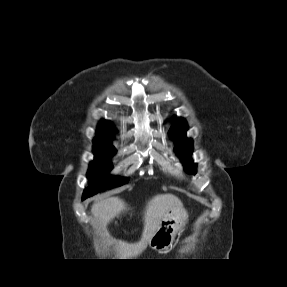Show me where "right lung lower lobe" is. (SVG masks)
<instances>
[{"label":"right lung lower lobe","mask_w":287,"mask_h":287,"mask_svg":"<svg viewBox=\"0 0 287 287\" xmlns=\"http://www.w3.org/2000/svg\"><path fill=\"white\" fill-rule=\"evenodd\" d=\"M82 199L84 200V199H86L85 197H82Z\"/></svg>","instance_id":"obj_1"}]
</instances>
